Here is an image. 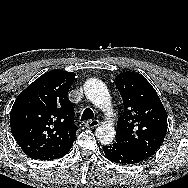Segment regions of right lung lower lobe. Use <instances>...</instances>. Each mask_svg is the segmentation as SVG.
<instances>
[{
    "instance_id": "right-lung-lower-lobe-1",
    "label": "right lung lower lobe",
    "mask_w": 188,
    "mask_h": 188,
    "mask_svg": "<svg viewBox=\"0 0 188 188\" xmlns=\"http://www.w3.org/2000/svg\"><path fill=\"white\" fill-rule=\"evenodd\" d=\"M73 142L67 144L64 147L37 154L36 156H34L32 158L33 159H39V160H53V159H56V158H60V157L64 156L65 154H67L69 152V150L71 149V147L73 145Z\"/></svg>"
}]
</instances>
